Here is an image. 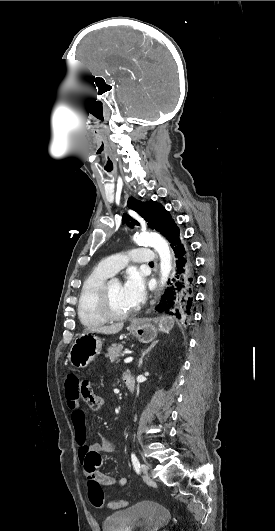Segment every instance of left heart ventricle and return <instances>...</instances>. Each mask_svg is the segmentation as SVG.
I'll return each mask as SVG.
<instances>
[{"instance_id": "1", "label": "left heart ventricle", "mask_w": 275, "mask_h": 531, "mask_svg": "<svg viewBox=\"0 0 275 531\" xmlns=\"http://www.w3.org/2000/svg\"><path fill=\"white\" fill-rule=\"evenodd\" d=\"M109 292L111 307L116 314H125L133 310V307L129 304L123 292V286L119 281H111L109 284Z\"/></svg>"}]
</instances>
